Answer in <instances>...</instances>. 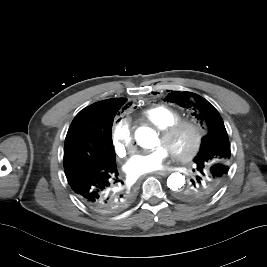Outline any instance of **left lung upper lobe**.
Returning <instances> with one entry per match:
<instances>
[{
    "label": "left lung upper lobe",
    "instance_id": "1",
    "mask_svg": "<svg viewBox=\"0 0 267 267\" xmlns=\"http://www.w3.org/2000/svg\"><path fill=\"white\" fill-rule=\"evenodd\" d=\"M164 100L190 108L192 115L207 129L200 151L193 160L196 178L177 193L182 201L206 199L220 188L228 175L231 151L224 122L214 106L195 93L172 91Z\"/></svg>",
    "mask_w": 267,
    "mask_h": 267
}]
</instances>
